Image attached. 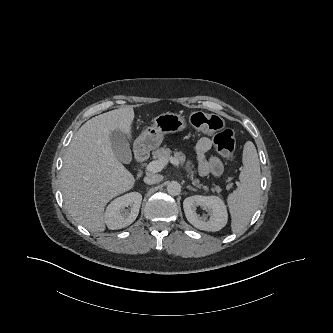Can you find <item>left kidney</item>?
Listing matches in <instances>:
<instances>
[{
  "label": "left kidney",
  "mask_w": 333,
  "mask_h": 333,
  "mask_svg": "<svg viewBox=\"0 0 333 333\" xmlns=\"http://www.w3.org/2000/svg\"><path fill=\"white\" fill-rule=\"evenodd\" d=\"M198 206L207 208L209 220L196 213ZM185 216L194 227L204 231H219L227 223L228 213L224 201L218 196L194 195L187 197L183 202Z\"/></svg>",
  "instance_id": "1"
}]
</instances>
